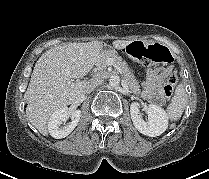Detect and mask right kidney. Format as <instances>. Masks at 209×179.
<instances>
[{"label":"right kidney","instance_id":"1","mask_svg":"<svg viewBox=\"0 0 209 179\" xmlns=\"http://www.w3.org/2000/svg\"><path fill=\"white\" fill-rule=\"evenodd\" d=\"M80 117V110H75L69 113L67 107L58 109L52 114L48 122V130L50 135L55 139L65 138L78 125ZM69 118H71V122L61 128V124L65 123Z\"/></svg>","mask_w":209,"mask_h":179}]
</instances>
